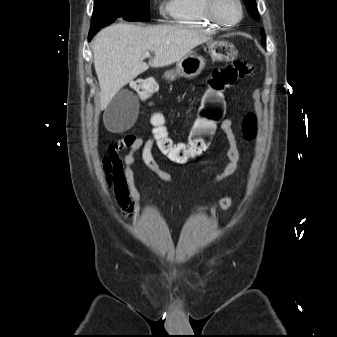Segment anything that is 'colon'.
I'll return each instance as SVG.
<instances>
[{
	"mask_svg": "<svg viewBox=\"0 0 337 337\" xmlns=\"http://www.w3.org/2000/svg\"><path fill=\"white\" fill-rule=\"evenodd\" d=\"M253 70L250 63L237 59L212 71L204 96L202 100H199V120L186 141L176 142L175 137H170V132H166V126L162 125V117L160 115L153 117L155 126H150V133H155L159 151L168 158V161L184 164L206 152L216 125L224 116L226 90L233 87L239 79L250 76ZM133 87L149 103L156 90L157 82L154 78L142 77L133 82ZM144 110L148 113L151 109L147 106ZM241 129L245 139L254 140L256 138L258 124L253 112L244 116Z\"/></svg>",
	"mask_w": 337,
	"mask_h": 337,
	"instance_id": "1",
	"label": "colon"
}]
</instances>
